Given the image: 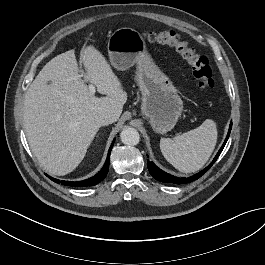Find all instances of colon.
Listing matches in <instances>:
<instances>
[{
  "label": "colon",
  "mask_w": 265,
  "mask_h": 265,
  "mask_svg": "<svg viewBox=\"0 0 265 265\" xmlns=\"http://www.w3.org/2000/svg\"><path fill=\"white\" fill-rule=\"evenodd\" d=\"M143 36L149 42L174 48L191 67L197 87L201 92L213 89L214 81L208 59L183 41L178 34L170 30L146 31Z\"/></svg>",
  "instance_id": "colon-1"
}]
</instances>
